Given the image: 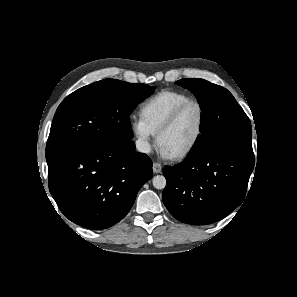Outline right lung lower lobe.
<instances>
[{"instance_id":"1","label":"right lung lower lobe","mask_w":297,"mask_h":297,"mask_svg":"<svg viewBox=\"0 0 297 297\" xmlns=\"http://www.w3.org/2000/svg\"><path fill=\"white\" fill-rule=\"evenodd\" d=\"M49 190L72 222L93 230L119 222L152 178V161L132 140L83 145L48 161Z\"/></svg>"}]
</instances>
